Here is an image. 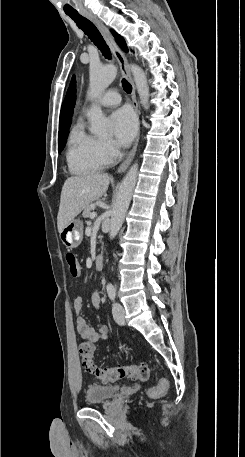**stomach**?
Segmentation results:
<instances>
[{
	"label": "stomach",
	"instance_id": "0dacf381",
	"mask_svg": "<svg viewBox=\"0 0 245 457\" xmlns=\"http://www.w3.org/2000/svg\"><path fill=\"white\" fill-rule=\"evenodd\" d=\"M60 239L65 245L66 249L72 251L79 247L83 239V222L79 218H73L70 220L66 226H64L63 231L60 233Z\"/></svg>",
	"mask_w": 245,
	"mask_h": 457
}]
</instances>
